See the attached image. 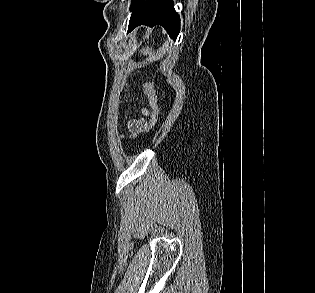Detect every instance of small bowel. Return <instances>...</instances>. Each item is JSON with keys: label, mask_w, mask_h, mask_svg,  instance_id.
Wrapping results in <instances>:
<instances>
[{"label": "small bowel", "mask_w": 315, "mask_h": 293, "mask_svg": "<svg viewBox=\"0 0 315 293\" xmlns=\"http://www.w3.org/2000/svg\"><path fill=\"white\" fill-rule=\"evenodd\" d=\"M148 127L145 119H134L128 123V129L133 136L140 134L145 131Z\"/></svg>", "instance_id": "c3829d8e"}]
</instances>
